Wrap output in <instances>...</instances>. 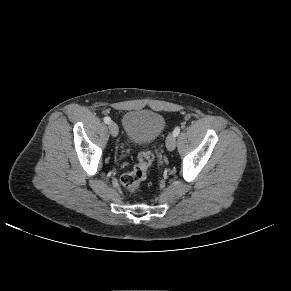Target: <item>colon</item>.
Wrapping results in <instances>:
<instances>
[{"mask_svg":"<svg viewBox=\"0 0 291 291\" xmlns=\"http://www.w3.org/2000/svg\"><path fill=\"white\" fill-rule=\"evenodd\" d=\"M153 162V154L146 150L139 154L134 167L122 175L121 184L129 192L134 193L140 184L146 179L147 171Z\"/></svg>","mask_w":291,"mask_h":291,"instance_id":"1","label":"colon"}]
</instances>
